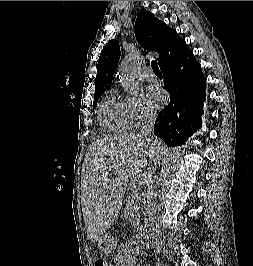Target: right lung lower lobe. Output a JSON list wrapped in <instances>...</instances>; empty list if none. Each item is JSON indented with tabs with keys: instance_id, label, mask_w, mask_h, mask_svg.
I'll return each mask as SVG.
<instances>
[{
	"instance_id": "98d812e1",
	"label": "right lung lower lobe",
	"mask_w": 253,
	"mask_h": 266,
	"mask_svg": "<svg viewBox=\"0 0 253 266\" xmlns=\"http://www.w3.org/2000/svg\"><path fill=\"white\" fill-rule=\"evenodd\" d=\"M160 68L170 102L158 114L154 133L168 146H177L201 127L206 78L189 48Z\"/></svg>"
}]
</instances>
